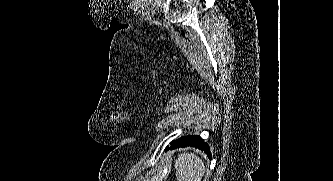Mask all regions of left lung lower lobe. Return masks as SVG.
Here are the masks:
<instances>
[{
	"mask_svg": "<svg viewBox=\"0 0 333 181\" xmlns=\"http://www.w3.org/2000/svg\"><path fill=\"white\" fill-rule=\"evenodd\" d=\"M187 146H192V147L198 148V149L204 151L211 158V153H210L208 144L205 143L204 140L200 136H196V135L185 136V137L179 138L175 142L171 143L170 149H175V148H179V147L183 148V147H187Z\"/></svg>",
	"mask_w": 333,
	"mask_h": 181,
	"instance_id": "1",
	"label": "left lung lower lobe"
}]
</instances>
